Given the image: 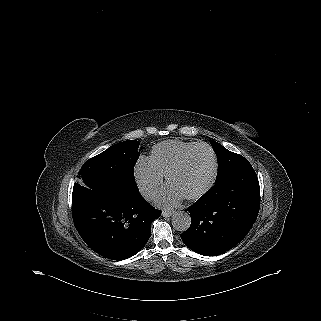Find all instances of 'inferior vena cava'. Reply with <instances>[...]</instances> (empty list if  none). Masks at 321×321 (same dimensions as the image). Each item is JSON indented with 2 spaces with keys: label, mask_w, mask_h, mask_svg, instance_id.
<instances>
[{
  "label": "inferior vena cava",
  "mask_w": 321,
  "mask_h": 321,
  "mask_svg": "<svg viewBox=\"0 0 321 321\" xmlns=\"http://www.w3.org/2000/svg\"><path fill=\"white\" fill-rule=\"evenodd\" d=\"M142 197L146 201H151L155 198L156 191L153 188H145L140 191Z\"/></svg>",
  "instance_id": "602c4592"
}]
</instances>
